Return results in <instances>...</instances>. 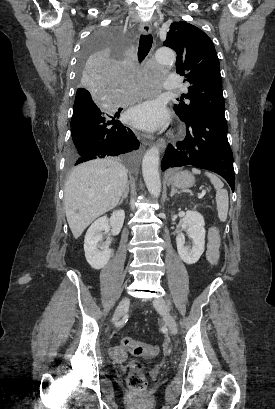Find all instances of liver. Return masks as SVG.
<instances>
[{
  "instance_id": "obj_1",
  "label": "liver",
  "mask_w": 275,
  "mask_h": 409,
  "mask_svg": "<svg viewBox=\"0 0 275 409\" xmlns=\"http://www.w3.org/2000/svg\"><path fill=\"white\" fill-rule=\"evenodd\" d=\"M127 182V168L115 158H95L73 168L64 188V205L74 239L118 205Z\"/></svg>"
}]
</instances>
